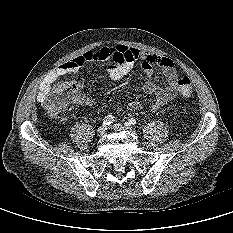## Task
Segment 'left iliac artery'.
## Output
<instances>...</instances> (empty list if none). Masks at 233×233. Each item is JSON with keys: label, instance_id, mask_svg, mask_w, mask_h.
<instances>
[{"label": "left iliac artery", "instance_id": "obj_1", "mask_svg": "<svg viewBox=\"0 0 233 233\" xmlns=\"http://www.w3.org/2000/svg\"><path fill=\"white\" fill-rule=\"evenodd\" d=\"M128 122L130 123V126L135 125L136 124V119L135 118H130V119H128Z\"/></svg>", "mask_w": 233, "mask_h": 233}]
</instances>
